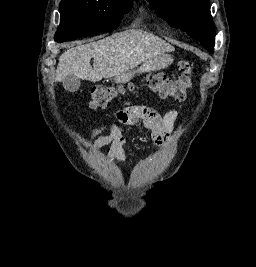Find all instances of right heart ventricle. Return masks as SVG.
<instances>
[{
  "instance_id": "e07e8e85",
  "label": "right heart ventricle",
  "mask_w": 256,
  "mask_h": 267,
  "mask_svg": "<svg viewBox=\"0 0 256 267\" xmlns=\"http://www.w3.org/2000/svg\"><path fill=\"white\" fill-rule=\"evenodd\" d=\"M129 28H141V27H129Z\"/></svg>"
}]
</instances>
